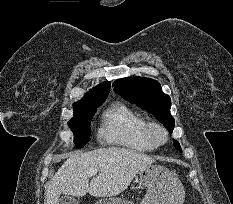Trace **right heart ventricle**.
<instances>
[{"label": "right heart ventricle", "instance_id": "obj_1", "mask_svg": "<svg viewBox=\"0 0 233 204\" xmlns=\"http://www.w3.org/2000/svg\"><path fill=\"white\" fill-rule=\"evenodd\" d=\"M146 122L141 113L117 102L103 112L98 135L102 142L109 145L139 152L152 151L155 146L144 133Z\"/></svg>", "mask_w": 233, "mask_h": 204}]
</instances>
